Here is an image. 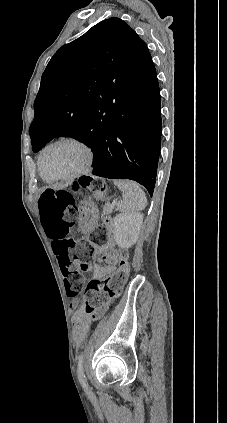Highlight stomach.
<instances>
[{
	"instance_id": "0dacf381",
	"label": "stomach",
	"mask_w": 227,
	"mask_h": 423,
	"mask_svg": "<svg viewBox=\"0 0 227 423\" xmlns=\"http://www.w3.org/2000/svg\"><path fill=\"white\" fill-rule=\"evenodd\" d=\"M107 192L105 190V192H96V194H94V198H99V200H107Z\"/></svg>"
}]
</instances>
